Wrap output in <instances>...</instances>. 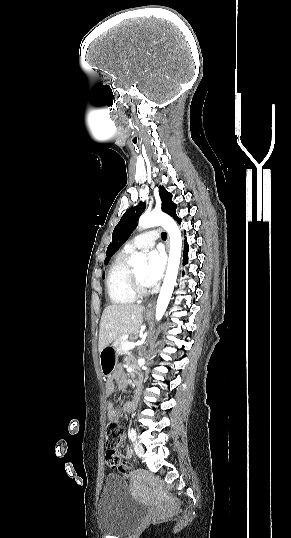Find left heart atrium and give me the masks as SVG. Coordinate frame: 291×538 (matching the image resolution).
Instances as JSON below:
<instances>
[{
    "label": "left heart atrium",
    "mask_w": 291,
    "mask_h": 538,
    "mask_svg": "<svg viewBox=\"0 0 291 538\" xmlns=\"http://www.w3.org/2000/svg\"><path fill=\"white\" fill-rule=\"evenodd\" d=\"M165 269V256L160 250H152L144 271V282L152 287L162 278Z\"/></svg>",
    "instance_id": "39dd6f15"
}]
</instances>
